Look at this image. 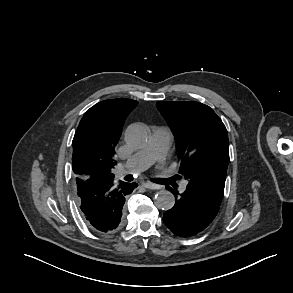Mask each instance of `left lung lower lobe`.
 I'll return each mask as SVG.
<instances>
[{
	"mask_svg": "<svg viewBox=\"0 0 293 293\" xmlns=\"http://www.w3.org/2000/svg\"><path fill=\"white\" fill-rule=\"evenodd\" d=\"M166 186L175 195V205L163 215L165 225L180 237L193 236L204 230L217 215L220 201L204 195L193 185L180 189L173 182Z\"/></svg>",
	"mask_w": 293,
	"mask_h": 293,
	"instance_id": "obj_1",
	"label": "left lung lower lobe"
}]
</instances>
